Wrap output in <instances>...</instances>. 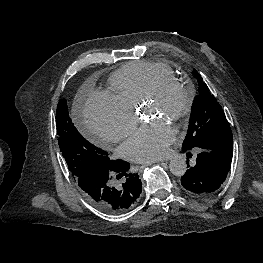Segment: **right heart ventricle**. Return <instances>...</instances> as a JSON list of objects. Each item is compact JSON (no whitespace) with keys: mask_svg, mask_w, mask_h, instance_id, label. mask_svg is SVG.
<instances>
[{"mask_svg":"<svg viewBox=\"0 0 263 263\" xmlns=\"http://www.w3.org/2000/svg\"><path fill=\"white\" fill-rule=\"evenodd\" d=\"M167 76L175 77L172 69L165 64L149 61L129 62L111 75V95L121 104L134 110L150 88L160 78Z\"/></svg>","mask_w":263,"mask_h":263,"instance_id":"1","label":"right heart ventricle"}]
</instances>
